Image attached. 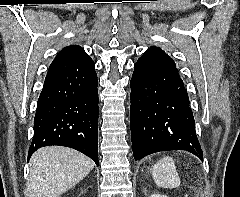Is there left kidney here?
I'll return each mask as SVG.
<instances>
[{
    "label": "left kidney",
    "mask_w": 240,
    "mask_h": 197,
    "mask_svg": "<svg viewBox=\"0 0 240 197\" xmlns=\"http://www.w3.org/2000/svg\"><path fill=\"white\" fill-rule=\"evenodd\" d=\"M150 197H168V196L163 195V194H159V193H154Z\"/></svg>",
    "instance_id": "left-kidney-1"
}]
</instances>
